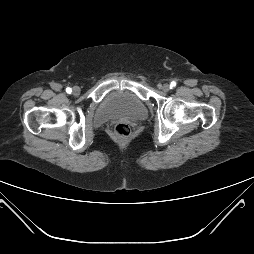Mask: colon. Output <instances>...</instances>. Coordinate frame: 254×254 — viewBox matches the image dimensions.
<instances>
[{"label":"colon","instance_id":"5ec220e1","mask_svg":"<svg viewBox=\"0 0 254 254\" xmlns=\"http://www.w3.org/2000/svg\"><path fill=\"white\" fill-rule=\"evenodd\" d=\"M114 133L119 139H126L130 136L131 129L130 126L126 123H118L114 127Z\"/></svg>","mask_w":254,"mask_h":254}]
</instances>
